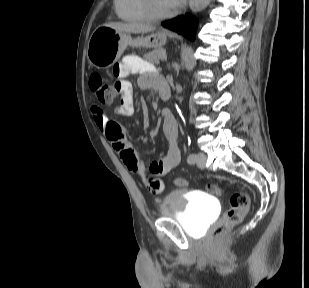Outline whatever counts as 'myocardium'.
<instances>
[{
  "label": "myocardium",
  "mask_w": 309,
  "mask_h": 288,
  "mask_svg": "<svg viewBox=\"0 0 309 288\" xmlns=\"http://www.w3.org/2000/svg\"><path fill=\"white\" fill-rule=\"evenodd\" d=\"M146 12L153 20L165 19L174 14V10L161 11L156 0H143Z\"/></svg>",
  "instance_id": "myocardium-1"
}]
</instances>
